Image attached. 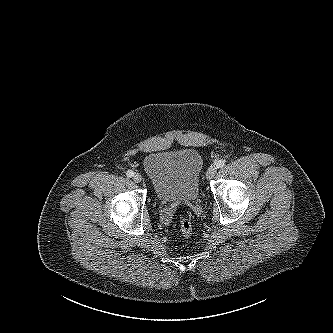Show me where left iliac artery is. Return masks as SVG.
<instances>
[{
  "label": "left iliac artery",
  "mask_w": 333,
  "mask_h": 333,
  "mask_svg": "<svg viewBox=\"0 0 333 333\" xmlns=\"http://www.w3.org/2000/svg\"><path fill=\"white\" fill-rule=\"evenodd\" d=\"M215 165H216L217 168H221L225 165V161L224 160H217L215 162Z\"/></svg>",
  "instance_id": "obj_1"
}]
</instances>
